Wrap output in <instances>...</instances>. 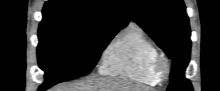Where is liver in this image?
Segmentation results:
<instances>
[{
	"instance_id": "liver-1",
	"label": "liver",
	"mask_w": 220,
	"mask_h": 91,
	"mask_svg": "<svg viewBox=\"0 0 220 91\" xmlns=\"http://www.w3.org/2000/svg\"><path fill=\"white\" fill-rule=\"evenodd\" d=\"M51 91H150L148 87L132 84L120 78L92 76L84 81L60 85Z\"/></svg>"
}]
</instances>
